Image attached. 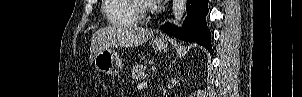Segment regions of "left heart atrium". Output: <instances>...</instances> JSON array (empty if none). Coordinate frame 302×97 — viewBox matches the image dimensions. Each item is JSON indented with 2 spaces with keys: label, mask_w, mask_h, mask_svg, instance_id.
I'll use <instances>...</instances> for the list:
<instances>
[{
  "label": "left heart atrium",
  "mask_w": 302,
  "mask_h": 97,
  "mask_svg": "<svg viewBox=\"0 0 302 97\" xmlns=\"http://www.w3.org/2000/svg\"><path fill=\"white\" fill-rule=\"evenodd\" d=\"M146 2L149 4H157L160 2V0H147Z\"/></svg>",
  "instance_id": "39dd6f15"
}]
</instances>
